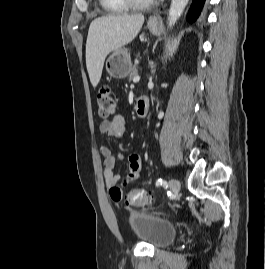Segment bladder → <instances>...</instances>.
<instances>
[{
	"mask_svg": "<svg viewBox=\"0 0 265 269\" xmlns=\"http://www.w3.org/2000/svg\"><path fill=\"white\" fill-rule=\"evenodd\" d=\"M128 226L139 240L155 248L169 245L177 235V228L174 224L141 210L129 213Z\"/></svg>",
	"mask_w": 265,
	"mask_h": 269,
	"instance_id": "bladder-1",
	"label": "bladder"
}]
</instances>
